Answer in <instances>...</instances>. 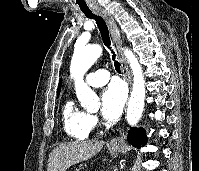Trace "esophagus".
<instances>
[{"instance_id": "esophagus-1", "label": "esophagus", "mask_w": 199, "mask_h": 171, "mask_svg": "<svg viewBox=\"0 0 199 171\" xmlns=\"http://www.w3.org/2000/svg\"><path fill=\"white\" fill-rule=\"evenodd\" d=\"M97 14H99L100 16H102L104 18V20L106 21L109 30H110V34H111V38H112V42L116 48L117 54H118V58L121 64V70H122V74L125 78V80L127 81L129 87L131 88V76H130V71L128 69V66L125 62L124 56L121 53V39H120V35H119V30L117 27V24L115 22V20L113 19V17L106 11H98ZM125 131L124 129H120L119 131V136L113 138L110 142L109 145L111 147H122L125 145Z\"/></svg>"}]
</instances>
